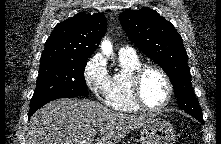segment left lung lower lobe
Returning <instances> with one entry per match:
<instances>
[{
  "label": "left lung lower lobe",
  "mask_w": 221,
  "mask_h": 144,
  "mask_svg": "<svg viewBox=\"0 0 221 144\" xmlns=\"http://www.w3.org/2000/svg\"><path fill=\"white\" fill-rule=\"evenodd\" d=\"M192 116L195 117L198 121H200L204 125V120L202 116L199 115H192Z\"/></svg>",
  "instance_id": "obj_1"
}]
</instances>
